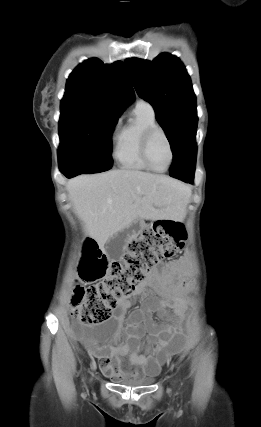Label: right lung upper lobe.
Instances as JSON below:
<instances>
[{"label": "right lung upper lobe", "instance_id": "1", "mask_svg": "<svg viewBox=\"0 0 261 427\" xmlns=\"http://www.w3.org/2000/svg\"><path fill=\"white\" fill-rule=\"evenodd\" d=\"M133 99L125 64L117 61L108 65L93 58L78 65L70 74L60 109L61 112L92 110L119 117Z\"/></svg>", "mask_w": 261, "mask_h": 427}]
</instances>
